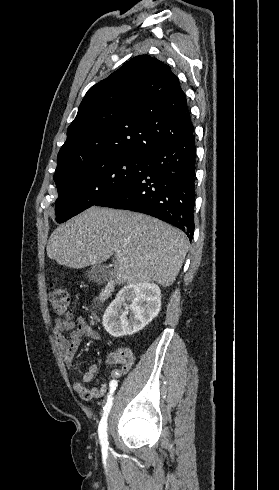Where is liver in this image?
Masks as SVG:
<instances>
[{
	"label": "liver",
	"mask_w": 279,
	"mask_h": 490,
	"mask_svg": "<svg viewBox=\"0 0 279 490\" xmlns=\"http://www.w3.org/2000/svg\"><path fill=\"white\" fill-rule=\"evenodd\" d=\"M189 240L173 226L127 210L92 206L52 232L46 252L67 268L100 266L115 256L117 284L157 282L172 286L188 252Z\"/></svg>",
	"instance_id": "6515ba94"
}]
</instances>
